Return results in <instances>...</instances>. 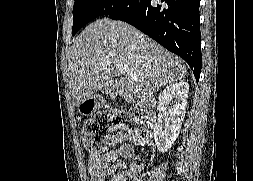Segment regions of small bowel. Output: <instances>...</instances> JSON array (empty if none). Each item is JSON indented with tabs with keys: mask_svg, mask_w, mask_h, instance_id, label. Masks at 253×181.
Masks as SVG:
<instances>
[{
	"mask_svg": "<svg viewBox=\"0 0 253 181\" xmlns=\"http://www.w3.org/2000/svg\"><path fill=\"white\" fill-rule=\"evenodd\" d=\"M134 156V147L131 144H122L105 153L91 154L88 159L90 181H115L116 177L125 175L126 165L123 160H130Z\"/></svg>",
	"mask_w": 253,
	"mask_h": 181,
	"instance_id": "small-bowel-1",
	"label": "small bowel"
}]
</instances>
